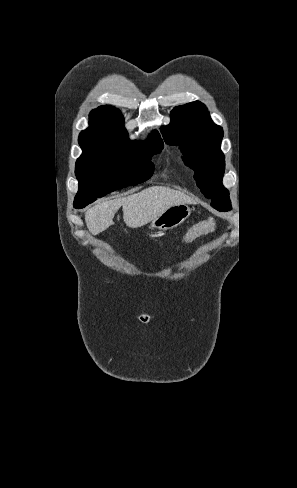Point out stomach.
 <instances>
[{
	"instance_id": "stomach-1",
	"label": "stomach",
	"mask_w": 297,
	"mask_h": 488,
	"mask_svg": "<svg viewBox=\"0 0 297 488\" xmlns=\"http://www.w3.org/2000/svg\"><path fill=\"white\" fill-rule=\"evenodd\" d=\"M191 214L187 204H175L151 221L150 227L157 230H169L183 223Z\"/></svg>"
}]
</instances>
